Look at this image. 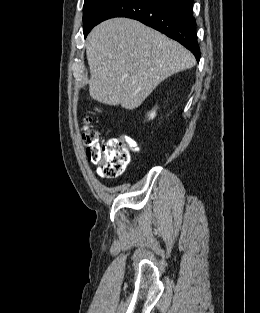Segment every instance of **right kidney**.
<instances>
[{"label": "right kidney", "mask_w": 260, "mask_h": 313, "mask_svg": "<svg viewBox=\"0 0 260 313\" xmlns=\"http://www.w3.org/2000/svg\"><path fill=\"white\" fill-rule=\"evenodd\" d=\"M148 116L149 119H153L156 116V111L155 110L151 111Z\"/></svg>", "instance_id": "ca27d5eb"}]
</instances>
